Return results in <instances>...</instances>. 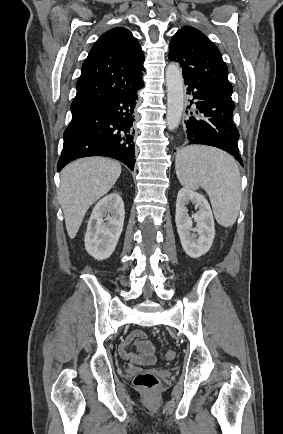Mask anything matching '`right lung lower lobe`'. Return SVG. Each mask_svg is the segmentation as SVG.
<instances>
[{
    "label": "right lung lower lobe",
    "instance_id": "98d812e1",
    "mask_svg": "<svg viewBox=\"0 0 283 434\" xmlns=\"http://www.w3.org/2000/svg\"><path fill=\"white\" fill-rule=\"evenodd\" d=\"M142 82L127 93L116 95L72 111V120L64 132V146L57 169L74 159L106 156L134 168V109Z\"/></svg>",
    "mask_w": 283,
    "mask_h": 434
}]
</instances>
